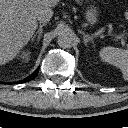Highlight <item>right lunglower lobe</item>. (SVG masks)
Listing matches in <instances>:
<instances>
[{
  "label": "right lung lower lobe",
  "mask_w": 128,
  "mask_h": 128,
  "mask_svg": "<svg viewBox=\"0 0 128 128\" xmlns=\"http://www.w3.org/2000/svg\"><path fill=\"white\" fill-rule=\"evenodd\" d=\"M38 71H39V68L31 75L29 76L28 78H26L25 80L23 81H20L18 83H24V82H27V81H30L32 79H34L36 77V75L38 74ZM1 83V82H0Z\"/></svg>",
  "instance_id": "1"
}]
</instances>
